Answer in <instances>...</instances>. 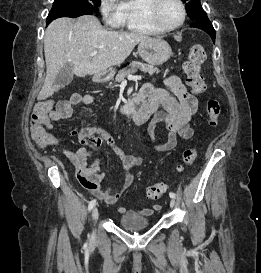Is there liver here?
<instances>
[{"mask_svg":"<svg viewBox=\"0 0 261 273\" xmlns=\"http://www.w3.org/2000/svg\"><path fill=\"white\" fill-rule=\"evenodd\" d=\"M147 39L151 38L136 32L107 31L92 15L54 20L44 36L46 78L38 101L51 97L59 90L54 81L65 64L71 63L73 73L78 77L102 75L112 66L123 63L134 47ZM94 51L98 53L90 57Z\"/></svg>","mask_w":261,"mask_h":273,"instance_id":"6515ba94","label":"liver"}]
</instances>
